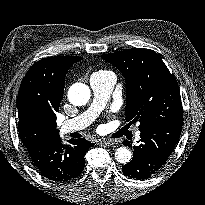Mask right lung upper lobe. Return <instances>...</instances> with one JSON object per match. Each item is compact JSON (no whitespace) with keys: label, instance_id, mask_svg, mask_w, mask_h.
<instances>
[{"label":"right lung upper lobe","instance_id":"obj_1","mask_svg":"<svg viewBox=\"0 0 205 205\" xmlns=\"http://www.w3.org/2000/svg\"><path fill=\"white\" fill-rule=\"evenodd\" d=\"M80 60L77 56L48 57L28 70L16 101L18 131L25 146L59 137L56 113L63 97L66 73Z\"/></svg>","mask_w":205,"mask_h":205}]
</instances>
